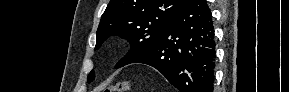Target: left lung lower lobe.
<instances>
[{
  "label": "left lung lower lobe",
  "instance_id": "0a47b994",
  "mask_svg": "<svg viewBox=\"0 0 289 92\" xmlns=\"http://www.w3.org/2000/svg\"><path fill=\"white\" fill-rule=\"evenodd\" d=\"M214 29L206 0H187L155 46L131 63L159 70L180 92H213Z\"/></svg>",
  "mask_w": 289,
  "mask_h": 92
}]
</instances>
